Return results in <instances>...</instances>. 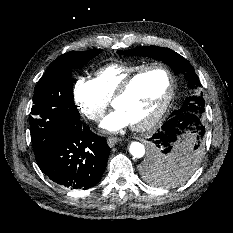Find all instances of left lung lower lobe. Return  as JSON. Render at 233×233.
I'll use <instances>...</instances> for the list:
<instances>
[{
	"instance_id": "1",
	"label": "left lung lower lobe",
	"mask_w": 233,
	"mask_h": 233,
	"mask_svg": "<svg viewBox=\"0 0 233 233\" xmlns=\"http://www.w3.org/2000/svg\"><path fill=\"white\" fill-rule=\"evenodd\" d=\"M192 136V145L186 153L185 159L187 162L190 160L196 161L201 153V141L205 134V127L201 123H193L192 125H185L178 120L168 119L161 128L150 138L153 145L152 157L148 161L147 170L145 175L152 177L153 174L163 172V174L170 173L172 170L171 164L167 163V160L173 158L176 148L175 145L182 142V137L185 134ZM181 176H168L166 181L161 182H173L179 179Z\"/></svg>"
}]
</instances>
